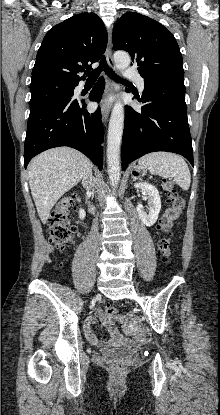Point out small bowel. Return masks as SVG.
<instances>
[{"mask_svg": "<svg viewBox=\"0 0 220 415\" xmlns=\"http://www.w3.org/2000/svg\"><path fill=\"white\" fill-rule=\"evenodd\" d=\"M104 320L108 327H111V324L106 321V317L102 311H98L94 316L89 317L86 320L84 326V333L87 340L94 346H97L103 350H108L110 345L117 344V345H124L125 342L122 340H118L114 337H110L108 340L103 341L98 338L96 333L93 330L94 325L97 323L98 320Z\"/></svg>", "mask_w": 220, "mask_h": 415, "instance_id": "obj_1", "label": "small bowel"}]
</instances>
